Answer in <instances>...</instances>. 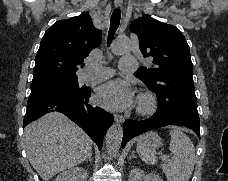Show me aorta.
Masks as SVG:
<instances>
[{"label": "aorta", "mask_w": 228, "mask_h": 181, "mask_svg": "<svg viewBox=\"0 0 228 181\" xmlns=\"http://www.w3.org/2000/svg\"><path fill=\"white\" fill-rule=\"evenodd\" d=\"M131 48L130 40L126 37L118 38L113 45V53L116 55L127 53ZM123 138V128L120 124H114L106 133V149L109 155L118 153Z\"/></svg>", "instance_id": "1"}]
</instances>
